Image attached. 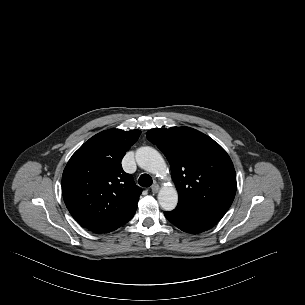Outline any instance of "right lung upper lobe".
Masks as SVG:
<instances>
[{
    "label": "right lung upper lobe",
    "mask_w": 305,
    "mask_h": 305,
    "mask_svg": "<svg viewBox=\"0 0 305 305\" xmlns=\"http://www.w3.org/2000/svg\"><path fill=\"white\" fill-rule=\"evenodd\" d=\"M141 131L111 129L85 142L70 158L62 176L64 202L74 219L95 233H108L136 212L142 190L121 160Z\"/></svg>",
    "instance_id": "cb5924a9"
}]
</instances>
